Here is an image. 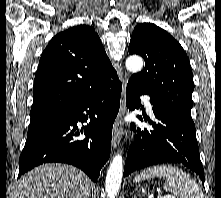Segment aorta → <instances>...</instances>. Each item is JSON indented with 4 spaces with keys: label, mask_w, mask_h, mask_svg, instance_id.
Masks as SVG:
<instances>
[{
    "label": "aorta",
    "mask_w": 221,
    "mask_h": 198,
    "mask_svg": "<svg viewBox=\"0 0 221 198\" xmlns=\"http://www.w3.org/2000/svg\"><path fill=\"white\" fill-rule=\"evenodd\" d=\"M126 68L132 73L141 71L143 60L141 57L133 55L127 58ZM123 176V157L121 153L116 154L110 163L107 171L105 189L109 198H115L120 189Z\"/></svg>",
    "instance_id": "aorta-1"
}]
</instances>
